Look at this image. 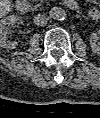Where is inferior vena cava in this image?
I'll return each mask as SVG.
<instances>
[{
    "mask_svg": "<svg viewBox=\"0 0 100 118\" xmlns=\"http://www.w3.org/2000/svg\"><path fill=\"white\" fill-rule=\"evenodd\" d=\"M48 18L46 15L38 14L34 17V23L37 26H44L47 24Z\"/></svg>",
    "mask_w": 100,
    "mask_h": 118,
    "instance_id": "602c4592",
    "label": "inferior vena cava"
}]
</instances>
